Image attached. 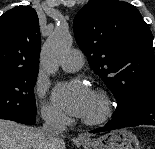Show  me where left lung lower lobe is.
Masks as SVG:
<instances>
[{"instance_id":"0a47b994","label":"left lung lower lobe","mask_w":155,"mask_h":149,"mask_svg":"<svg viewBox=\"0 0 155 149\" xmlns=\"http://www.w3.org/2000/svg\"><path fill=\"white\" fill-rule=\"evenodd\" d=\"M155 125V87L140 90L125 105L118 104L113 119L90 133L104 132L138 125Z\"/></svg>"}]
</instances>
